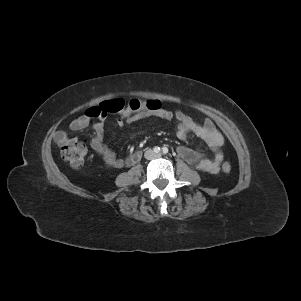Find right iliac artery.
Instances as JSON below:
<instances>
[{
    "mask_svg": "<svg viewBox=\"0 0 301 301\" xmlns=\"http://www.w3.org/2000/svg\"><path fill=\"white\" fill-rule=\"evenodd\" d=\"M153 150H154L155 153H159L161 151L160 147H157V146L154 147Z\"/></svg>",
    "mask_w": 301,
    "mask_h": 301,
    "instance_id": "right-iliac-artery-1",
    "label": "right iliac artery"
}]
</instances>
